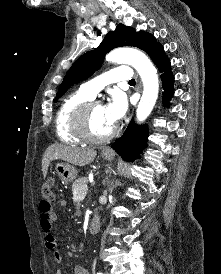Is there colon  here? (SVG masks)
<instances>
[{
	"label": "colon",
	"instance_id": "1",
	"mask_svg": "<svg viewBox=\"0 0 221 274\" xmlns=\"http://www.w3.org/2000/svg\"><path fill=\"white\" fill-rule=\"evenodd\" d=\"M54 183L51 179H48L41 188V193L46 202L51 204L54 201L55 193L53 189Z\"/></svg>",
	"mask_w": 221,
	"mask_h": 274
}]
</instances>
